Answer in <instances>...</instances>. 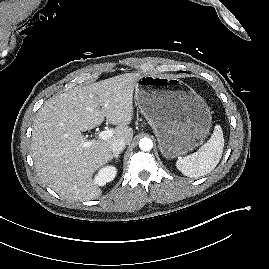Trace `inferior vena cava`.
<instances>
[{"label": "inferior vena cava", "instance_id": "1", "mask_svg": "<svg viewBox=\"0 0 269 269\" xmlns=\"http://www.w3.org/2000/svg\"><path fill=\"white\" fill-rule=\"evenodd\" d=\"M126 142L122 139H116L114 140L111 145L110 149L112 152L117 153L122 151L125 148Z\"/></svg>", "mask_w": 269, "mask_h": 269}]
</instances>
